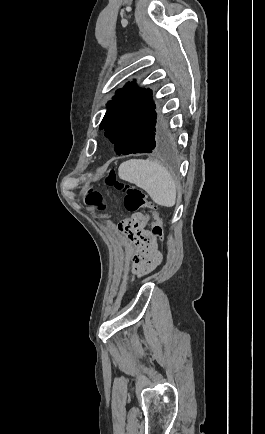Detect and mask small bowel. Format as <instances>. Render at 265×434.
Masks as SVG:
<instances>
[{"label": "small bowel", "instance_id": "c3829d8e", "mask_svg": "<svg viewBox=\"0 0 265 434\" xmlns=\"http://www.w3.org/2000/svg\"><path fill=\"white\" fill-rule=\"evenodd\" d=\"M123 232L137 248L136 269L138 274H146L162 262V255L158 250L155 238L147 229L148 219L140 213H133L129 219L123 221Z\"/></svg>", "mask_w": 265, "mask_h": 434}]
</instances>
